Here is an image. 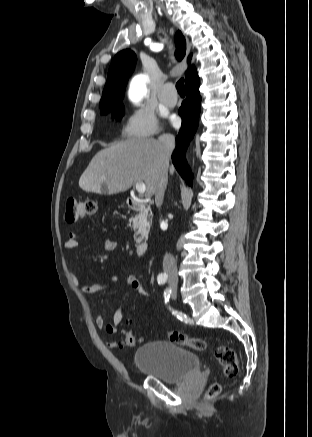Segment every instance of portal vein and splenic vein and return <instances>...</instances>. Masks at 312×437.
<instances>
[{"mask_svg":"<svg viewBox=\"0 0 312 437\" xmlns=\"http://www.w3.org/2000/svg\"><path fill=\"white\" fill-rule=\"evenodd\" d=\"M136 190L140 193V194H144L146 191V185L144 182L142 181H137L136 184Z\"/></svg>","mask_w":312,"mask_h":437,"instance_id":"portal-vein-and-splenic-vein-1","label":"portal vein and splenic vein"}]
</instances>
